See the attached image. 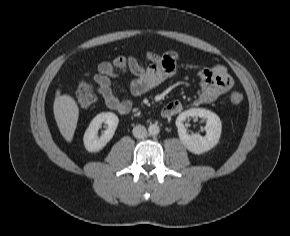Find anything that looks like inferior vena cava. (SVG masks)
Segmentation results:
<instances>
[{
    "mask_svg": "<svg viewBox=\"0 0 290 236\" xmlns=\"http://www.w3.org/2000/svg\"><path fill=\"white\" fill-rule=\"evenodd\" d=\"M132 132H133V136L135 138H144L147 134L146 128L142 125L135 126L133 128Z\"/></svg>",
    "mask_w": 290,
    "mask_h": 236,
    "instance_id": "602c4592",
    "label": "inferior vena cava"
}]
</instances>
